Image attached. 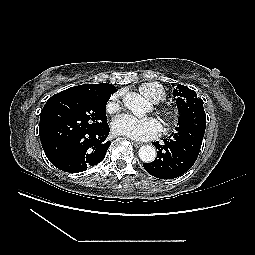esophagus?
<instances>
[{
  "label": "esophagus",
  "mask_w": 255,
  "mask_h": 255,
  "mask_svg": "<svg viewBox=\"0 0 255 255\" xmlns=\"http://www.w3.org/2000/svg\"><path fill=\"white\" fill-rule=\"evenodd\" d=\"M132 144H133L134 146H136V147H139V146L142 145L141 142H137V141H132Z\"/></svg>",
  "instance_id": "1"
}]
</instances>
